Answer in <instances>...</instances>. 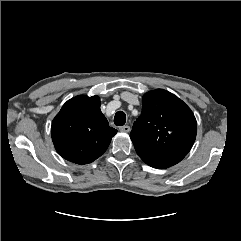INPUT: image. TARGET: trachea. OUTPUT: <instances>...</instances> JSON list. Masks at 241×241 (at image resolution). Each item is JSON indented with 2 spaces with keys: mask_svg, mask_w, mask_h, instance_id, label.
Wrapping results in <instances>:
<instances>
[{
  "mask_svg": "<svg viewBox=\"0 0 241 241\" xmlns=\"http://www.w3.org/2000/svg\"><path fill=\"white\" fill-rule=\"evenodd\" d=\"M126 122V115L123 111H118L114 117V123L116 126H123Z\"/></svg>",
  "mask_w": 241,
  "mask_h": 241,
  "instance_id": "trachea-1",
  "label": "trachea"
}]
</instances>
